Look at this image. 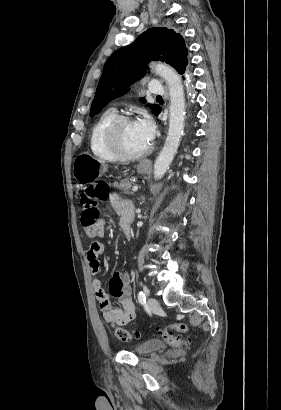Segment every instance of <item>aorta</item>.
Wrapping results in <instances>:
<instances>
[{"label": "aorta", "instance_id": "762f6f07", "mask_svg": "<svg viewBox=\"0 0 281 410\" xmlns=\"http://www.w3.org/2000/svg\"><path fill=\"white\" fill-rule=\"evenodd\" d=\"M151 68L166 81L170 91L168 134L154 164V179L159 180L164 176L173 161L184 131L185 95L181 78L172 67L163 63H153Z\"/></svg>", "mask_w": 281, "mask_h": 410}]
</instances>
